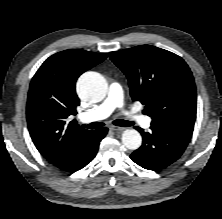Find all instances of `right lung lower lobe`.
<instances>
[{
    "mask_svg": "<svg viewBox=\"0 0 222 219\" xmlns=\"http://www.w3.org/2000/svg\"><path fill=\"white\" fill-rule=\"evenodd\" d=\"M107 131L106 127L91 131L83 139L72 159L61 169L67 172H75L85 167L96 156L99 143L105 137Z\"/></svg>",
    "mask_w": 222,
    "mask_h": 219,
    "instance_id": "98d812e1",
    "label": "right lung lower lobe"
}]
</instances>
